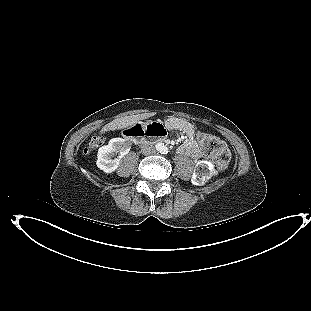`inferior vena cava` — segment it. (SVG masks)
Segmentation results:
<instances>
[{"instance_id": "1", "label": "inferior vena cava", "mask_w": 311, "mask_h": 311, "mask_svg": "<svg viewBox=\"0 0 311 311\" xmlns=\"http://www.w3.org/2000/svg\"><path fill=\"white\" fill-rule=\"evenodd\" d=\"M142 152L144 154H152L155 152L154 146L152 145L151 142H145L142 145Z\"/></svg>"}]
</instances>
